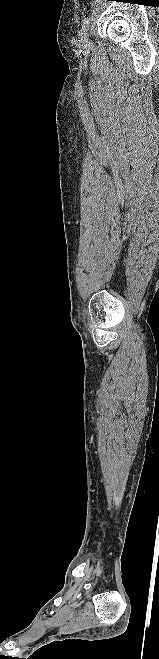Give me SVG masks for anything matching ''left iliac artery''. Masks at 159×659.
I'll return each mask as SVG.
<instances>
[{"label":"left iliac artery","mask_w":159,"mask_h":659,"mask_svg":"<svg viewBox=\"0 0 159 659\" xmlns=\"http://www.w3.org/2000/svg\"><path fill=\"white\" fill-rule=\"evenodd\" d=\"M89 23H90V19L88 17H85L81 28L82 37H86L88 35L87 32L89 28Z\"/></svg>","instance_id":"44dca946"}]
</instances>
